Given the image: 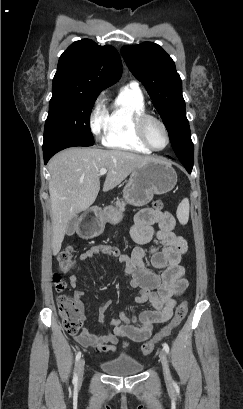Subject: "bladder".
I'll use <instances>...</instances> for the list:
<instances>
[{
  "mask_svg": "<svg viewBox=\"0 0 243 409\" xmlns=\"http://www.w3.org/2000/svg\"><path fill=\"white\" fill-rule=\"evenodd\" d=\"M101 367L111 376H130L142 372L144 366L133 359H115L105 362Z\"/></svg>",
  "mask_w": 243,
  "mask_h": 409,
  "instance_id": "bladder-1",
  "label": "bladder"
}]
</instances>
